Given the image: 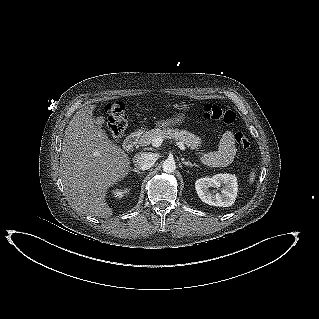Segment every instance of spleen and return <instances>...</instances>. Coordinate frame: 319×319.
<instances>
[{"label": "spleen", "instance_id": "obj_1", "mask_svg": "<svg viewBox=\"0 0 319 319\" xmlns=\"http://www.w3.org/2000/svg\"><path fill=\"white\" fill-rule=\"evenodd\" d=\"M255 176H256L255 171L254 170L251 171L249 174V183H252L254 181Z\"/></svg>", "mask_w": 319, "mask_h": 319}]
</instances>
